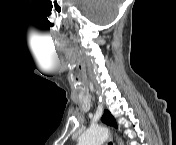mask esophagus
<instances>
[{"label": "esophagus", "mask_w": 176, "mask_h": 145, "mask_svg": "<svg viewBox=\"0 0 176 145\" xmlns=\"http://www.w3.org/2000/svg\"><path fill=\"white\" fill-rule=\"evenodd\" d=\"M106 145H115L111 136L109 137Z\"/></svg>", "instance_id": "34e87169"}]
</instances>
